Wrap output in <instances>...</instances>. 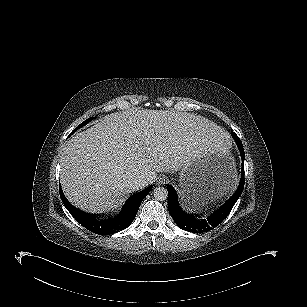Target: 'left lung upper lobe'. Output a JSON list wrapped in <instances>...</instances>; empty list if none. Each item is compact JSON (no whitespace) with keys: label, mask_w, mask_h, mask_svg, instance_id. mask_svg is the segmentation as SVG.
<instances>
[{"label":"left lung upper lobe","mask_w":307,"mask_h":307,"mask_svg":"<svg viewBox=\"0 0 307 307\" xmlns=\"http://www.w3.org/2000/svg\"><path fill=\"white\" fill-rule=\"evenodd\" d=\"M232 135H233V138L236 141L237 145L242 144L241 140L239 139V137L234 132H232Z\"/></svg>","instance_id":"5c2ea615"}]
</instances>
